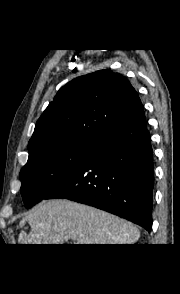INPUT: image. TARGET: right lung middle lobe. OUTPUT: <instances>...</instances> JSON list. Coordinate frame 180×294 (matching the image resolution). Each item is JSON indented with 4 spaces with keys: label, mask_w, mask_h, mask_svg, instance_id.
<instances>
[{
    "label": "right lung middle lobe",
    "mask_w": 180,
    "mask_h": 294,
    "mask_svg": "<svg viewBox=\"0 0 180 294\" xmlns=\"http://www.w3.org/2000/svg\"><path fill=\"white\" fill-rule=\"evenodd\" d=\"M97 141L71 140L41 149L21 169V194L32 207L66 181L82 164Z\"/></svg>",
    "instance_id": "right-lung-middle-lobe-1"
}]
</instances>
